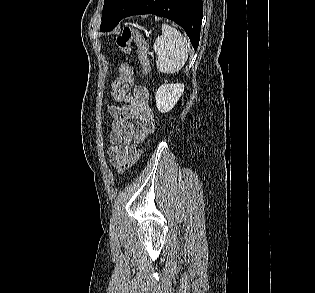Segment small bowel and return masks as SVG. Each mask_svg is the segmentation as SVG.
Segmentation results:
<instances>
[{"mask_svg": "<svg viewBox=\"0 0 315 293\" xmlns=\"http://www.w3.org/2000/svg\"><path fill=\"white\" fill-rule=\"evenodd\" d=\"M119 78V77H118ZM118 94H112L120 105H112L108 112L112 118L108 148L111 162L117 168L136 151V144L142 143L155 129V119L148 104L146 88L123 85Z\"/></svg>", "mask_w": 315, "mask_h": 293, "instance_id": "obj_1", "label": "small bowel"}]
</instances>
